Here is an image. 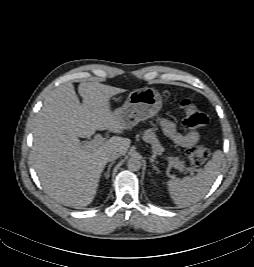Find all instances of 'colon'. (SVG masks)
Returning a JSON list of instances; mask_svg holds the SVG:
<instances>
[{
	"label": "colon",
	"mask_w": 254,
	"mask_h": 267,
	"mask_svg": "<svg viewBox=\"0 0 254 267\" xmlns=\"http://www.w3.org/2000/svg\"><path fill=\"white\" fill-rule=\"evenodd\" d=\"M183 113L182 124L186 129H197L207 126L208 116L188 99L180 102ZM210 150L203 145L191 146L187 150V157L195 168L201 167L210 157Z\"/></svg>",
	"instance_id": "obj_1"
}]
</instances>
